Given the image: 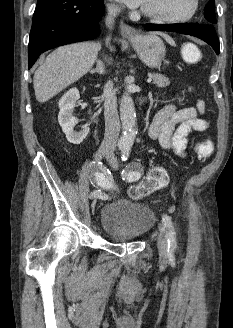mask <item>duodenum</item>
I'll use <instances>...</instances> for the list:
<instances>
[{
	"mask_svg": "<svg viewBox=\"0 0 233 328\" xmlns=\"http://www.w3.org/2000/svg\"><path fill=\"white\" fill-rule=\"evenodd\" d=\"M145 102H146V98L145 97H141V98L138 99V103L140 105H143Z\"/></svg>",
	"mask_w": 233,
	"mask_h": 328,
	"instance_id": "duodenum-1",
	"label": "duodenum"
}]
</instances>
